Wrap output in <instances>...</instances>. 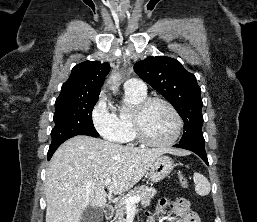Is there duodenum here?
<instances>
[{
	"mask_svg": "<svg viewBox=\"0 0 257 222\" xmlns=\"http://www.w3.org/2000/svg\"><path fill=\"white\" fill-rule=\"evenodd\" d=\"M103 212L106 218H110L113 214V207L110 204H107L103 207Z\"/></svg>",
	"mask_w": 257,
	"mask_h": 222,
	"instance_id": "410a0bca",
	"label": "duodenum"
}]
</instances>
